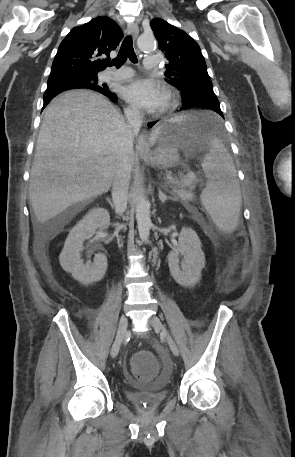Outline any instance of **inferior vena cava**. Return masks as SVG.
I'll list each match as a JSON object with an SVG mask.
<instances>
[{"mask_svg":"<svg viewBox=\"0 0 295 457\" xmlns=\"http://www.w3.org/2000/svg\"><path fill=\"white\" fill-rule=\"evenodd\" d=\"M128 125L133 132H138L142 124V114L139 109L133 108L125 111ZM130 171L125 163H120L112 182V199L115 212L122 215L127 208Z\"/></svg>","mask_w":295,"mask_h":457,"instance_id":"obj_1","label":"inferior vena cava"}]
</instances>
